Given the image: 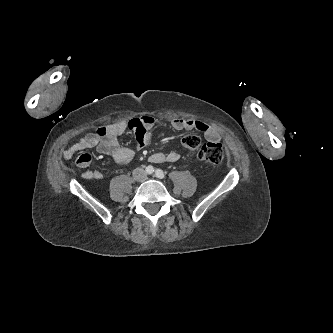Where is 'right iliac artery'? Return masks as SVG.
<instances>
[{
    "mask_svg": "<svg viewBox=\"0 0 333 333\" xmlns=\"http://www.w3.org/2000/svg\"><path fill=\"white\" fill-rule=\"evenodd\" d=\"M146 172H147L148 174H152V173L154 172V168H153L152 166H148V167L146 168Z\"/></svg>",
    "mask_w": 333,
    "mask_h": 333,
    "instance_id": "82829eb1",
    "label": "right iliac artery"
}]
</instances>
